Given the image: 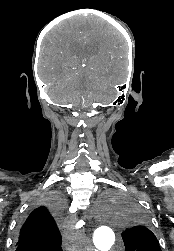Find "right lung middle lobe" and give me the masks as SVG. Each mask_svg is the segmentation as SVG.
I'll return each instance as SVG.
<instances>
[{"instance_id":"dd1d6c3e","label":"right lung middle lobe","mask_w":174,"mask_h":251,"mask_svg":"<svg viewBox=\"0 0 174 251\" xmlns=\"http://www.w3.org/2000/svg\"><path fill=\"white\" fill-rule=\"evenodd\" d=\"M62 195L59 193H48L37 204V206L46 205L51 207L55 212L60 213L62 209Z\"/></svg>"}]
</instances>
